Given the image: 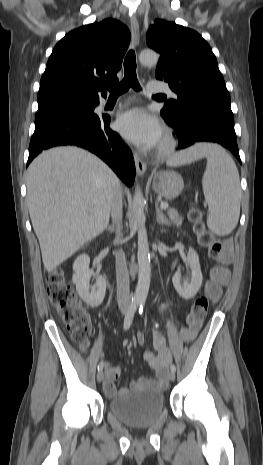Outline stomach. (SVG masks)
Masks as SVG:
<instances>
[{
  "label": "stomach",
  "instance_id": "1",
  "mask_svg": "<svg viewBox=\"0 0 263 465\" xmlns=\"http://www.w3.org/2000/svg\"><path fill=\"white\" fill-rule=\"evenodd\" d=\"M183 187V179L176 172L160 171L153 174V190L167 200L176 198Z\"/></svg>",
  "mask_w": 263,
  "mask_h": 465
}]
</instances>
